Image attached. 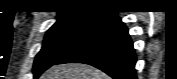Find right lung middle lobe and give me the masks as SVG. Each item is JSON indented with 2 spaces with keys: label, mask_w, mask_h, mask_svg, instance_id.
Wrapping results in <instances>:
<instances>
[{
  "label": "right lung middle lobe",
  "mask_w": 177,
  "mask_h": 79,
  "mask_svg": "<svg viewBox=\"0 0 177 79\" xmlns=\"http://www.w3.org/2000/svg\"><path fill=\"white\" fill-rule=\"evenodd\" d=\"M101 20L102 17H89L55 23L46 33L42 49L35 58L34 78L82 42Z\"/></svg>",
  "instance_id": "obj_1"
}]
</instances>
